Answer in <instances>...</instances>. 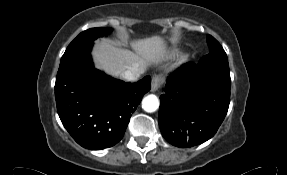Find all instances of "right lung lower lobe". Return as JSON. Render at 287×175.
Listing matches in <instances>:
<instances>
[{
    "label": "right lung lower lobe",
    "mask_w": 287,
    "mask_h": 175,
    "mask_svg": "<svg viewBox=\"0 0 287 175\" xmlns=\"http://www.w3.org/2000/svg\"><path fill=\"white\" fill-rule=\"evenodd\" d=\"M92 45L62 56L55 98L60 120L74 140L84 148L101 150L122 139L131 114L150 90L151 78L125 83L107 76L93 66Z\"/></svg>",
    "instance_id": "98d812e1"
}]
</instances>
